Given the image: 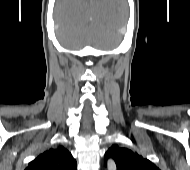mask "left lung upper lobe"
I'll use <instances>...</instances> for the list:
<instances>
[{"mask_svg":"<svg viewBox=\"0 0 190 170\" xmlns=\"http://www.w3.org/2000/svg\"><path fill=\"white\" fill-rule=\"evenodd\" d=\"M112 158L117 170H160L155 164L127 148L118 145L111 146L105 154L104 160Z\"/></svg>","mask_w":190,"mask_h":170,"instance_id":"left-lung-upper-lobe-1","label":"left lung upper lobe"}]
</instances>
